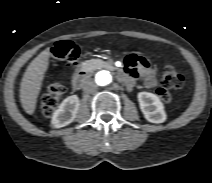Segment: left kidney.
<instances>
[{"label":"left kidney","mask_w":212,"mask_h":183,"mask_svg":"<svg viewBox=\"0 0 212 183\" xmlns=\"http://www.w3.org/2000/svg\"><path fill=\"white\" fill-rule=\"evenodd\" d=\"M142 113L147 121L151 123H163L167 115L164 105L159 97L150 92H139L137 95Z\"/></svg>","instance_id":"left-kidney-1"}]
</instances>
